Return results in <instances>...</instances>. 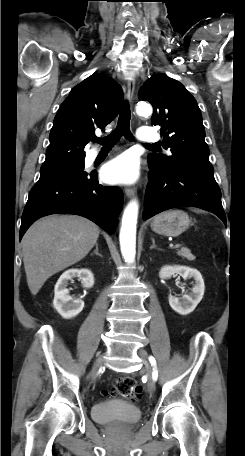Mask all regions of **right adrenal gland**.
Returning <instances> with one entry per match:
<instances>
[{
  "label": "right adrenal gland",
  "instance_id": "obj_1",
  "mask_svg": "<svg viewBox=\"0 0 245 456\" xmlns=\"http://www.w3.org/2000/svg\"><path fill=\"white\" fill-rule=\"evenodd\" d=\"M93 254L102 257V255L98 251V243L95 244V250L93 251V253H91V255H93Z\"/></svg>",
  "mask_w": 245,
  "mask_h": 456
}]
</instances>
